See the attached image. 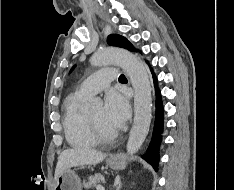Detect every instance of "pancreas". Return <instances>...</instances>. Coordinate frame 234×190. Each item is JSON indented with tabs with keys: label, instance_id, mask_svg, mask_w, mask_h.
Returning <instances> with one entry per match:
<instances>
[{
	"label": "pancreas",
	"instance_id": "1",
	"mask_svg": "<svg viewBox=\"0 0 234 190\" xmlns=\"http://www.w3.org/2000/svg\"><path fill=\"white\" fill-rule=\"evenodd\" d=\"M104 181V178L100 174H95L89 178V180L84 183L85 188H94L97 187L98 183Z\"/></svg>",
	"mask_w": 234,
	"mask_h": 190
}]
</instances>
